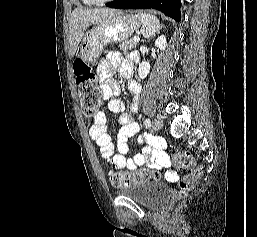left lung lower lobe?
Here are the masks:
<instances>
[{
  "instance_id": "left-lung-lower-lobe-1",
  "label": "left lung lower lobe",
  "mask_w": 257,
  "mask_h": 237,
  "mask_svg": "<svg viewBox=\"0 0 257 237\" xmlns=\"http://www.w3.org/2000/svg\"><path fill=\"white\" fill-rule=\"evenodd\" d=\"M106 6L116 9H157L176 21H180V0H118Z\"/></svg>"
}]
</instances>
